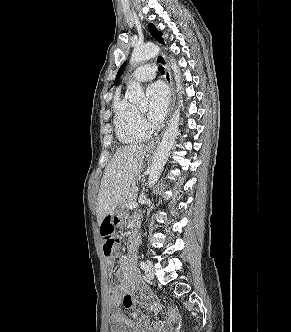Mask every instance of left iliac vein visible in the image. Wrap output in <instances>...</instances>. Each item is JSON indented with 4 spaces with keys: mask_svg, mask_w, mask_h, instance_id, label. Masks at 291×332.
Returning <instances> with one entry per match:
<instances>
[{
    "mask_svg": "<svg viewBox=\"0 0 291 332\" xmlns=\"http://www.w3.org/2000/svg\"><path fill=\"white\" fill-rule=\"evenodd\" d=\"M147 268L145 270V275L147 279L152 280L154 279V271H153V265L150 261L146 262Z\"/></svg>",
    "mask_w": 291,
    "mask_h": 332,
    "instance_id": "4c4485c4",
    "label": "left iliac vein"
}]
</instances>
